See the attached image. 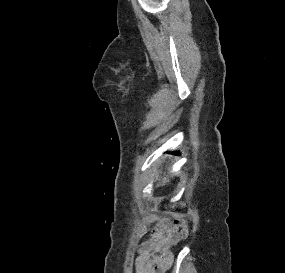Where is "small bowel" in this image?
Instances as JSON below:
<instances>
[{
  "mask_svg": "<svg viewBox=\"0 0 285 273\" xmlns=\"http://www.w3.org/2000/svg\"><path fill=\"white\" fill-rule=\"evenodd\" d=\"M179 242V235L168 218L160 220L154 235L143 242L135 261L136 273H164L171 265V248Z\"/></svg>",
  "mask_w": 285,
  "mask_h": 273,
  "instance_id": "1",
  "label": "small bowel"
}]
</instances>
